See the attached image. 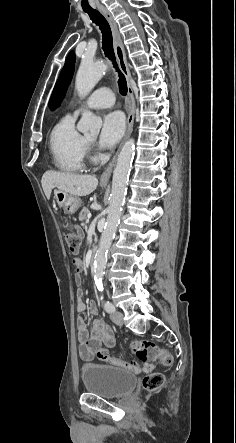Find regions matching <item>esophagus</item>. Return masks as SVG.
<instances>
[{"mask_svg": "<svg viewBox=\"0 0 236 443\" xmlns=\"http://www.w3.org/2000/svg\"><path fill=\"white\" fill-rule=\"evenodd\" d=\"M99 11L106 18V20L108 21V23L110 25V28L112 31V36H113V45H114L115 55L117 57L120 70L127 79L128 95L131 100V107H130V110L128 113V118H127V132H126V135L124 138V140H126L130 136V134L132 133L134 116H135V99H134L133 87L131 84V74H130L127 60H126L124 45L122 43V39L120 37L119 31H118V26H117L115 20L113 19L112 15L105 7H102V6L99 7ZM117 153L115 154V156L113 157V159L111 160V162L109 163V165L107 166L105 171L103 172V174L100 178L101 183H107L109 181L114 163L116 161Z\"/></svg>", "mask_w": 236, "mask_h": 443, "instance_id": "esophagus-1", "label": "esophagus"}]
</instances>
